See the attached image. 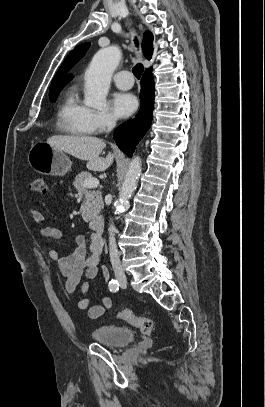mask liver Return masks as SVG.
<instances>
[{
	"mask_svg": "<svg viewBox=\"0 0 265 407\" xmlns=\"http://www.w3.org/2000/svg\"><path fill=\"white\" fill-rule=\"evenodd\" d=\"M49 145L68 153L75 158L87 161V168L94 171H105L113 163L111 152L105 158L99 157L106 143L92 136H62L55 135L47 139Z\"/></svg>",
	"mask_w": 265,
	"mask_h": 407,
	"instance_id": "6515ba94",
	"label": "liver"
}]
</instances>
